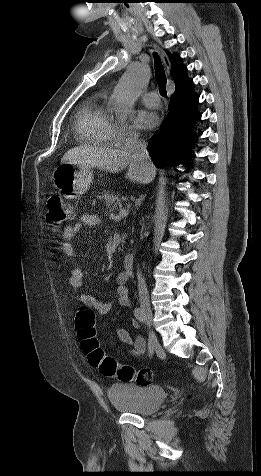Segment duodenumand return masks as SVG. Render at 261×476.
Returning a JSON list of instances; mask_svg holds the SVG:
<instances>
[{
  "mask_svg": "<svg viewBox=\"0 0 261 476\" xmlns=\"http://www.w3.org/2000/svg\"><path fill=\"white\" fill-rule=\"evenodd\" d=\"M135 268V256L131 253H128L124 257V269L126 275H132Z\"/></svg>",
  "mask_w": 261,
  "mask_h": 476,
  "instance_id": "duodenum-1",
  "label": "duodenum"
}]
</instances>
